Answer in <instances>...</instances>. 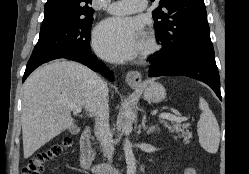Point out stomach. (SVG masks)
Here are the masks:
<instances>
[{
  "label": "stomach",
  "instance_id": "1",
  "mask_svg": "<svg viewBox=\"0 0 249 174\" xmlns=\"http://www.w3.org/2000/svg\"><path fill=\"white\" fill-rule=\"evenodd\" d=\"M133 87L141 91L144 98L149 102L159 103L166 98V90L158 82L147 80L139 85H133Z\"/></svg>",
  "mask_w": 249,
  "mask_h": 174
}]
</instances>
